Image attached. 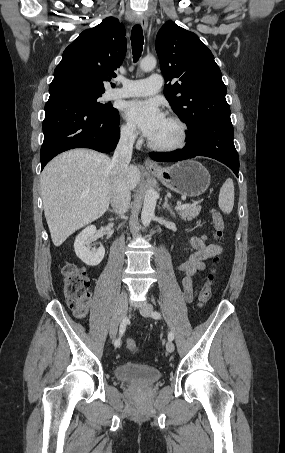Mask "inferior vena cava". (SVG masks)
<instances>
[{
	"label": "inferior vena cava",
	"instance_id": "obj_1",
	"mask_svg": "<svg viewBox=\"0 0 285 453\" xmlns=\"http://www.w3.org/2000/svg\"><path fill=\"white\" fill-rule=\"evenodd\" d=\"M135 138L136 135L133 128L123 132L111 160L114 173L111 184L110 203L114 212L118 215L126 213L130 205L131 188L126 175L132 158Z\"/></svg>",
	"mask_w": 285,
	"mask_h": 453
}]
</instances>
